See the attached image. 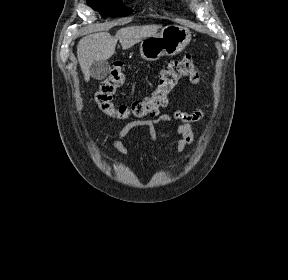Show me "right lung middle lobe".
Listing matches in <instances>:
<instances>
[{"label":"right lung middle lobe","mask_w":288,"mask_h":280,"mask_svg":"<svg viewBox=\"0 0 288 280\" xmlns=\"http://www.w3.org/2000/svg\"><path fill=\"white\" fill-rule=\"evenodd\" d=\"M87 3L104 18L125 16L133 12L132 9L125 7L121 0H87Z\"/></svg>","instance_id":"right-lung-middle-lobe-1"}]
</instances>
